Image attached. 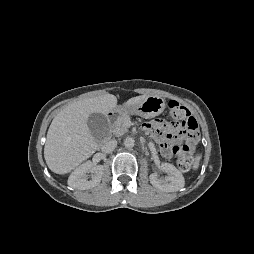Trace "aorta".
Returning <instances> with one entry per match:
<instances>
[{
    "label": "aorta",
    "mask_w": 254,
    "mask_h": 254,
    "mask_svg": "<svg viewBox=\"0 0 254 254\" xmlns=\"http://www.w3.org/2000/svg\"><path fill=\"white\" fill-rule=\"evenodd\" d=\"M134 144H135V141L133 138L131 137H127L125 140H124V145L126 148H133L134 147Z\"/></svg>",
    "instance_id": "1"
}]
</instances>
